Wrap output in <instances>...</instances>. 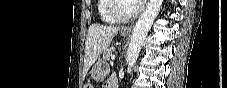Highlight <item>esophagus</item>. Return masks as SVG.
I'll return each instance as SVG.
<instances>
[{
	"instance_id": "34e87169",
	"label": "esophagus",
	"mask_w": 227,
	"mask_h": 88,
	"mask_svg": "<svg viewBox=\"0 0 227 88\" xmlns=\"http://www.w3.org/2000/svg\"><path fill=\"white\" fill-rule=\"evenodd\" d=\"M131 29H132V26H127V27H125L123 30L129 32V31H131Z\"/></svg>"
}]
</instances>
